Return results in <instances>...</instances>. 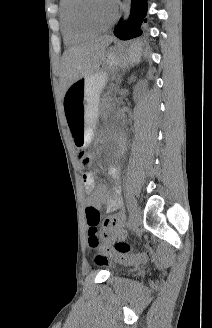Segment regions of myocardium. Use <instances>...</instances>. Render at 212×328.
Instances as JSON below:
<instances>
[{
	"mask_svg": "<svg viewBox=\"0 0 212 328\" xmlns=\"http://www.w3.org/2000/svg\"><path fill=\"white\" fill-rule=\"evenodd\" d=\"M88 0H74V3L71 8V16L73 22L80 28L89 30L95 33L105 31L109 29L117 20L118 11L114 7L113 17L111 20L105 25H97L91 22L84 13L85 4Z\"/></svg>",
	"mask_w": 212,
	"mask_h": 328,
	"instance_id": "1",
	"label": "myocardium"
}]
</instances>
